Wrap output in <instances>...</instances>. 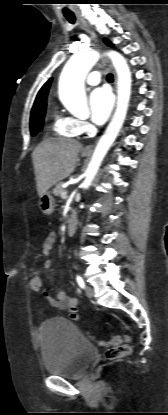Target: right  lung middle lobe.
<instances>
[{"instance_id": "right-lung-middle-lobe-1", "label": "right lung middle lobe", "mask_w": 168, "mask_h": 415, "mask_svg": "<svg viewBox=\"0 0 168 415\" xmlns=\"http://www.w3.org/2000/svg\"><path fill=\"white\" fill-rule=\"evenodd\" d=\"M45 111L46 107H43L31 112L30 129L32 136H34L36 133L42 130Z\"/></svg>"}]
</instances>
